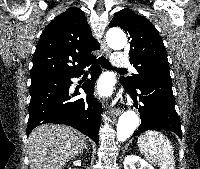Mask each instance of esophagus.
<instances>
[{"label":"esophagus","instance_id":"esophagus-1","mask_svg":"<svg viewBox=\"0 0 200 169\" xmlns=\"http://www.w3.org/2000/svg\"><path fill=\"white\" fill-rule=\"evenodd\" d=\"M104 45V54L106 55V57H108L111 53V50L105 45ZM111 114L114 116H119L121 114V110L118 108L112 109Z\"/></svg>","mask_w":200,"mask_h":169}]
</instances>
